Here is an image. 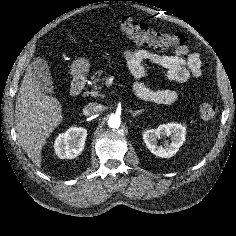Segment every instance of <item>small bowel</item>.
<instances>
[{"instance_id": "small-bowel-1", "label": "small bowel", "mask_w": 236, "mask_h": 236, "mask_svg": "<svg viewBox=\"0 0 236 236\" xmlns=\"http://www.w3.org/2000/svg\"><path fill=\"white\" fill-rule=\"evenodd\" d=\"M123 56L131 75L136 82L133 91L140 99L157 103L172 104L178 93L171 89H153L147 84L145 63L160 66L166 71V78L177 83H187L191 78H200L201 59L185 45L177 48L172 55H164L147 49L123 50Z\"/></svg>"}]
</instances>
